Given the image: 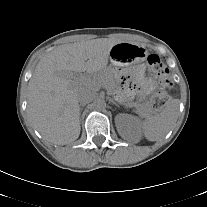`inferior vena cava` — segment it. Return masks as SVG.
I'll return each mask as SVG.
<instances>
[{"label":"inferior vena cava","mask_w":207,"mask_h":207,"mask_svg":"<svg viewBox=\"0 0 207 207\" xmlns=\"http://www.w3.org/2000/svg\"><path fill=\"white\" fill-rule=\"evenodd\" d=\"M95 98V94L91 89L81 88L78 90L77 99L81 104H87L93 101Z\"/></svg>","instance_id":"inferior-vena-cava-1"}]
</instances>
